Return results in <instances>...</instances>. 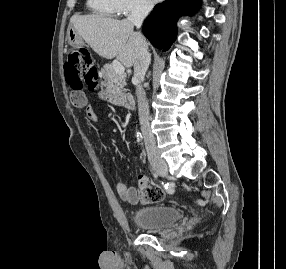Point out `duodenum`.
<instances>
[{
	"instance_id": "1",
	"label": "duodenum",
	"mask_w": 286,
	"mask_h": 269,
	"mask_svg": "<svg viewBox=\"0 0 286 269\" xmlns=\"http://www.w3.org/2000/svg\"><path fill=\"white\" fill-rule=\"evenodd\" d=\"M120 105L124 108L132 109V108H134L135 103L131 98L126 97V98H122L120 100Z\"/></svg>"
}]
</instances>
